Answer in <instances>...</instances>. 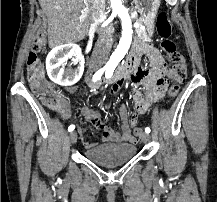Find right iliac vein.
I'll list each match as a JSON object with an SVG mask.
<instances>
[{
  "mask_svg": "<svg viewBox=\"0 0 217 202\" xmlns=\"http://www.w3.org/2000/svg\"><path fill=\"white\" fill-rule=\"evenodd\" d=\"M69 140L71 144H75L77 142V133L71 132L69 135Z\"/></svg>",
  "mask_w": 217,
  "mask_h": 202,
  "instance_id": "1",
  "label": "right iliac vein"
}]
</instances>
